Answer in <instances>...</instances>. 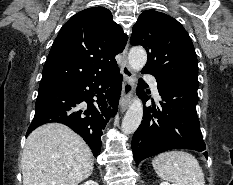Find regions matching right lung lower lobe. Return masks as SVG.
<instances>
[{
    "label": "right lung lower lobe",
    "instance_id": "obj_1",
    "mask_svg": "<svg viewBox=\"0 0 233 185\" xmlns=\"http://www.w3.org/2000/svg\"><path fill=\"white\" fill-rule=\"evenodd\" d=\"M122 80L116 67L92 78L39 87L35 116L26 136L45 123H63L82 136L97 156L102 132L118 107Z\"/></svg>",
    "mask_w": 233,
    "mask_h": 185
}]
</instances>
